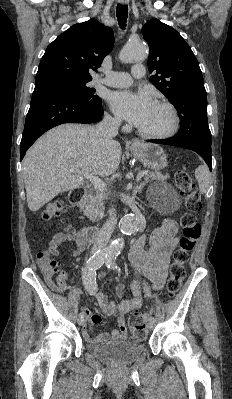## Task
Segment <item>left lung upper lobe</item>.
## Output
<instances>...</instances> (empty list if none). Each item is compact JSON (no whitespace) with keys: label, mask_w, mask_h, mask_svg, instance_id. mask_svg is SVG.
<instances>
[{"label":"left lung upper lobe","mask_w":232,"mask_h":399,"mask_svg":"<svg viewBox=\"0 0 232 399\" xmlns=\"http://www.w3.org/2000/svg\"><path fill=\"white\" fill-rule=\"evenodd\" d=\"M142 34L149 45V72H157L150 81L175 106L180 118V130L174 137L211 148L204 80L190 46L175 29L155 18L144 25Z\"/></svg>","instance_id":"left-lung-upper-lobe-1"}]
</instances>
